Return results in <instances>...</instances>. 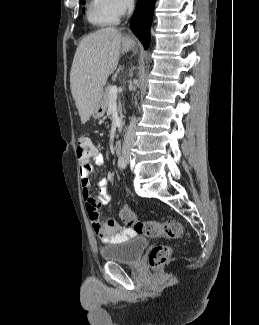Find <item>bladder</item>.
Returning a JSON list of instances; mask_svg holds the SVG:
<instances>
[{"mask_svg": "<svg viewBox=\"0 0 259 325\" xmlns=\"http://www.w3.org/2000/svg\"><path fill=\"white\" fill-rule=\"evenodd\" d=\"M148 246L145 237H134L122 243L110 244L100 248L103 260L120 264H136Z\"/></svg>", "mask_w": 259, "mask_h": 325, "instance_id": "bladder-1", "label": "bladder"}]
</instances>
